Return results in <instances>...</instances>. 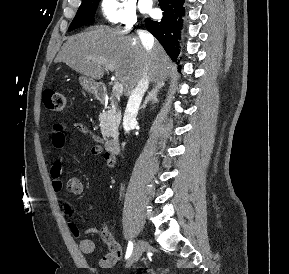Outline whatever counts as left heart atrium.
I'll return each mask as SVG.
<instances>
[{
	"mask_svg": "<svg viewBox=\"0 0 289 274\" xmlns=\"http://www.w3.org/2000/svg\"><path fill=\"white\" fill-rule=\"evenodd\" d=\"M150 2L148 0H143L141 3V8L143 11L147 12L150 11Z\"/></svg>",
	"mask_w": 289,
	"mask_h": 274,
	"instance_id": "1",
	"label": "left heart atrium"
}]
</instances>
